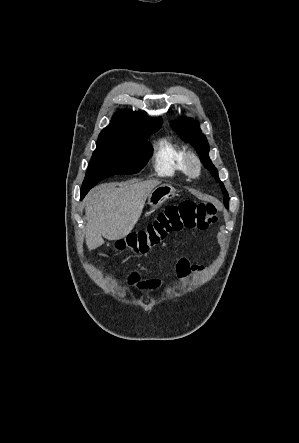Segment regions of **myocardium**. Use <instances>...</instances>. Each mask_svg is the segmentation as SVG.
Segmentation results:
<instances>
[{
  "label": "myocardium",
  "mask_w": 299,
  "mask_h": 443,
  "mask_svg": "<svg viewBox=\"0 0 299 443\" xmlns=\"http://www.w3.org/2000/svg\"><path fill=\"white\" fill-rule=\"evenodd\" d=\"M185 168L191 177H197L201 171L199 158L192 152H187L185 156Z\"/></svg>",
  "instance_id": "f54148a6"
}]
</instances>
